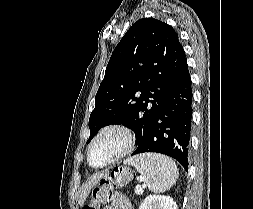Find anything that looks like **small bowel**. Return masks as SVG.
<instances>
[{
	"label": "small bowel",
	"mask_w": 253,
	"mask_h": 209,
	"mask_svg": "<svg viewBox=\"0 0 253 209\" xmlns=\"http://www.w3.org/2000/svg\"><path fill=\"white\" fill-rule=\"evenodd\" d=\"M104 209H133L131 202L119 192H115L111 195L110 205Z\"/></svg>",
	"instance_id": "c3829d8e"
}]
</instances>
